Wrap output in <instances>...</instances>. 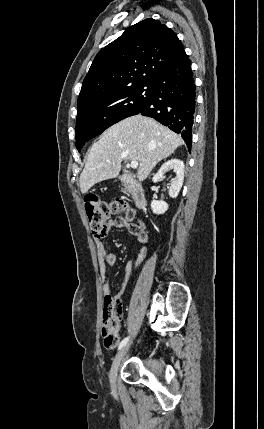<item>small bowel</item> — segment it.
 <instances>
[{"label": "small bowel", "instance_id": "c3829d8e", "mask_svg": "<svg viewBox=\"0 0 264 429\" xmlns=\"http://www.w3.org/2000/svg\"><path fill=\"white\" fill-rule=\"evenodd\" d=\"M111 228H126L132 235H135L141 245L137 260L134 265L127 263L125 265V276L119 293H123L129 280L132 278L140 264L146 257L147 254V243L149 240L148 230L144 225H134L128 222L126 219L119 217L112 219L108 222L105 233L101 237H95L98 264L103 279V294L104 298L111 296L110 282H109V269L116 262V255L107 250L104 243L103 237L108 233Z\"/></svg>", "mask_w": 264, "mask_h": 429}]
</instances>
